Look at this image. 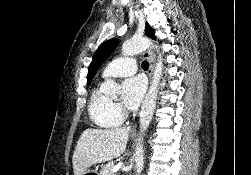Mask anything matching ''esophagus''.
Here are the masks:
<instances>
[{
    "label": "esophagus",
    "mask_w": 251,
    "mask_h": 175,
    "mask_svg": "<svg viewBox=\"0 0 251 175\" xmlns=\"http://www.w3.org/2000/svg\"><path fill=\"white\" fill-rule=\"evenodd\" d=\"M143 56L148 60L149 62V68H148V71H147V74H148V78L150 79L151 78V75H152V72H153V69H154V55L153 53L148 49L146 51L143 52Z\"/></svg>",
    "instance_id": "obj_1"
}]
</instances>
